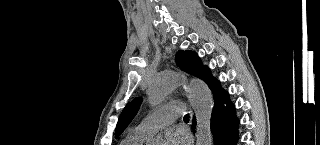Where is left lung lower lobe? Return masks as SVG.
<instances>
[{"label":"left lung lower lobe","mask_w":320,"mask_h":145,"mask_svg":"<svg viewBox=\"0 0 320 145\" xmlns=\"http://www.w3.org/2000/svg\"><path fill=\"white\" fill-rule=\"evenodd\" d=\"M204 80L213 92L215 106L211 115V130L214 135V145H236L238 140V119L234 106L228 99V93L220 87L208 67L202 69L197 76ZM224 103L227 106H224ZM196 127V118H193L192 129Z\"/></svg>","instance_id":"0a47b994"}]
</instances>
